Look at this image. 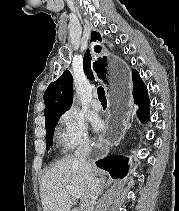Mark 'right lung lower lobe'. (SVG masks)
<instances>
[{
    "instance_id": "obj_1",
    "label": "right lung lower lobe",
    "mask_w": 179,
    "mask_h": 211,
    "mask_svg": "<svg viewBox=\"0 0 179 211\" xmlns=\"http://www.w3.org/2000/svg\"><path fill=\"white\" fill-rule=\"evenodd\" d=\"M133 97L134 103L139 106L137 116L142 123H146L150 119L149 107L150 101L148 97L147 87L141 80L139 73L133 70ZM96 165L108 171L112 178H123L128 172L127 158L124 156H107L104 159L98 160Z\"/></svg>"
}]
</instances>
